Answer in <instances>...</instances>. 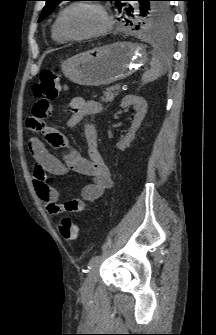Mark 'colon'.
I'll return each mask as SVG.
<instances>
[{
	"mask_svg": "<svg viewBox=\"0 0 216 335\" xmlns=\"http://www.w3.org/2000/svg\"><path fill=\"white\" fill-rule=\"evenodd\" d=\"M33 92L38 98H48L50 100L49 104L52 105L60 92L58 74L52 70H44L39 81L33 86ZM58 230L67 241L76 240L80 234L79 227L68 216L59 221Z\"/></svg>",
	"mask_w": 216,
	"mask_h": 335,
	"instance_id": "1",
	"label": "colon"
}]
</instances>
